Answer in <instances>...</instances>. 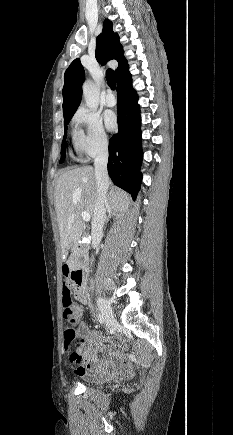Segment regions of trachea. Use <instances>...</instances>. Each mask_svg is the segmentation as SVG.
I'll return each mask as SVG.
<instances>
[{"label":"trachea","instance_id":"trachea-1","mask_svg":"<svg viewBox=\"0 0 233 435\" xmlns=\"http://www.w3.org/2000/svg\"><path fill=\"white\" fill-rule=\"evenodd\" d=\"M106 80H107L108 86L112 90H115V88H116V79H115V74H114L112 69H108L106 71Z\"/></svg>","mask_w":233,"mask_h":435}]
</instances>
